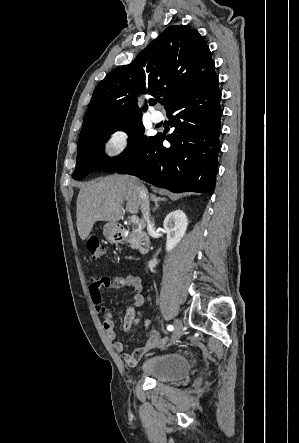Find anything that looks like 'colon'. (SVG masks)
I'll list each match as a JSON object with an SVG mask.
<instances>
[{"label":"colon","instance_id":"1","mask_svg":"<svg viewBox=\"0 0 299 443\" xmlns=\"http://www.w3.org/2000/svg\"><path fill=\"white\" fill-rule=\"evenodd\" d=\"M86 247L90 256L94 259H101L105 255V249L96 235H90L87 237Z\"/></svg>","mask_w":299,"mask_h":443}]
</instances>
